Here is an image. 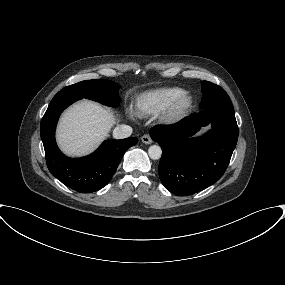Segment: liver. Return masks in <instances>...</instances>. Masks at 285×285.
Wrapping results in <instances>:
<instances>
[{
    "label": "liver",
    "instance_id": "1",
    "mask_svg": "<svg viewBox=\"0 0 285 285\" xmlns=\"http://www.w3.org/2000/svg\"><path fill=\"white\" fill-rule=\"evenodd\" d=\"M114 113L102 105L82 100L67 109L57 128L59 147L69 156L92 152L115 123Z\"/></svg>",
    "mask_w": 285,
    "mask_h": 285
}]
</instances>
